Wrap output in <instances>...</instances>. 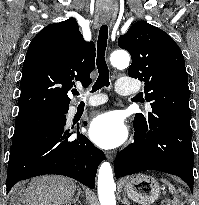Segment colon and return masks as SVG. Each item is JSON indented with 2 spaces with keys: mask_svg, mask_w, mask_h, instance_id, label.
<instances>
[{
  "mask_svg": "<svg viewBox=\"0 0 199 205\" xmlns=\"http://www.w3.org/2000/svg\"><path fill=\"white\" fill-rule=\"evenodd\" d=\"M183 198V196H181ZM162 205H174V202L173 201H170V200H165L163 201Z\"/></svg>",
  "mask_w": 199,
  "mask_h": 205,
  "instance_id": "1",
  "label": "colon"
}]
</instances>
